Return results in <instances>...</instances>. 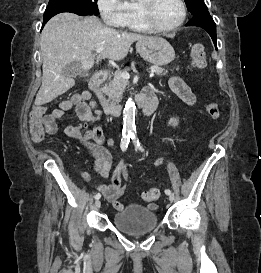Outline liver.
<instances>
[{
	"instance_id": "liver-1",
	"label": "liver",
	"mask_w": 261,
	"mask_h": 273,
	"mask_svg": "<svg viewBox=\"0 0 261 273\" xmlns=\"http://www.w3.org/2000/svg\"><path fill=\"white\" fill-rule=\"evenodd\" d=\"M150 37L137 33L119 32L104 26L98 17H80L73 13H60L52 17L41 33L42 85L34 104L51 102L75 85L71 76L62 75L64 66L80 63L88 71L102 59L123 60L135 41ZM104 50L97 56L93 52Z\"/></svg>"
}]
</instances>
